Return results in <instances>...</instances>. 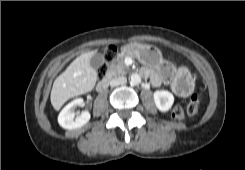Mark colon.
Wrapping results in <instances>:
<instances>
[{
    "label": "colon",
    "instance_id": "5ec220e1",
    "mask_svg": "<svg viewBox=\"0 0 245 170\" xmlns=\"http://www.w3.org/2000/svg\"><path fill=\"white\" fill-rule=\"evenodd\" d=\"M116 55V49L114 47H110L105 55V61L103 65L98 70V76L99 78L104 77L106 74L107 68L109 63L114 59ZM176 83V80L173 81V84ZM200 105V96L198 94H194L189 103L187 104V107L184 108L183 106H176L172 111V116L177 121H184L187 117L193 116L198 112V108Z\"/></svg>",
    "mask_w": 245,
    "mask_h": 170
}]
</instances>
